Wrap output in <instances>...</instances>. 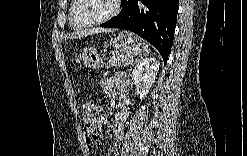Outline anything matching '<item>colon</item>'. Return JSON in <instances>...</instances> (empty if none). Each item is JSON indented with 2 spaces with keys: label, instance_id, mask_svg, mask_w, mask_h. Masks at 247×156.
Instances as JSON below:
<instances>
[{
  "label": "colon",
  "instance_id": "obj_1",
  "mask_svg": "<svg viewBox=\"0 0 247 156\" xmlns=\"http://www.w3.org/2000/svg\"><path fill=\"white\" fill-rule=\"evenodd\" d=\"M104 101H96L94 107H88L82 125L85 126L87 135L96 137L99 133V121L103 112Z\"/></svg>",
  "mask_w": 247,
  "mask_h": 156
}]
</instances>
